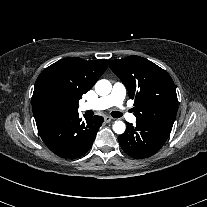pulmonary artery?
Listing matches in <instances>:
<instances>
[{
  "label": "pulmonary artery",
  "mask_w": 207,
  "mask_h": 207,
  "mask_svg": "<svg viewBox=\"0 0 207 207\" xmlns=\"http://www.w3.org/2000/svg\"><path fill=\"white\" fill-rule=\"evenodd\" d=\"M126 91L122 83H115L112 91L109 95L100 97L92 102L85 103L82 106V110H103L111 106H117L122 116H124L129 122H135V116L127 112L126 107L123 104Z\"/></svg>",
  "instance_id": "1"
}]
</instances>
